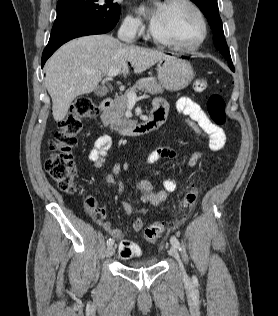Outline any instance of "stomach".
<instances>
[{
    "label": "stomach",
    "mask_w": 278,
    "mask_h": 316,
    "mask_svg": "<svg viewBox=\"0 0 278 316\" xmlns=\"http://www.w3.org/2000/svg\"><path fill=\"white\" fill-rule=\"evenodd\" d=\"M160 84L168 91H179L186 88L194 77L191 64L179 57L167 56L157 65Z\"/></svg>",
    "instance_id": "stomach-1"
}]
</instances>
